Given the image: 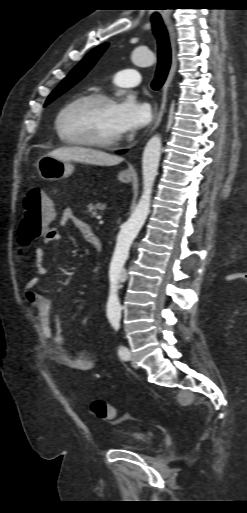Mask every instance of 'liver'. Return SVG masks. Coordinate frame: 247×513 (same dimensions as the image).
<instances>
[{"instance_id": "1", "label": "liver", "mask_w": 247, "mask_h": 513, "mask_svg": "<svg viewBox=\"0 0 247 513\" xmlns=\"http://www.w3.org/2000/svg\"><path fill=\"white\" fill-rule=\"evenodd\" d=\"M48 155L64 161L74 160L98 166H112L123 160L107 152L80 146L58 148L49 152Z\"/></svg>"}]
</instances>
